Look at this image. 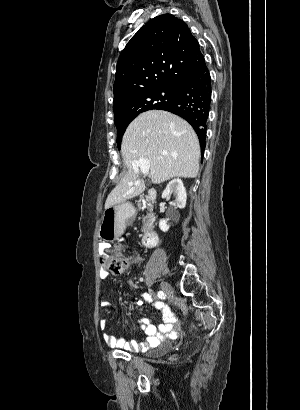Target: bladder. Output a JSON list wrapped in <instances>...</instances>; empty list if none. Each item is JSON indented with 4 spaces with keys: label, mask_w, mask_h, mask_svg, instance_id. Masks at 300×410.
<instances>
[{
    "label": "bladder",
    "mask_w": 300,
    "mask_h": 410,
    "mask_svg": "<svg viewBox=\"0 0 300 410\" xmlns=\"http://www.w3.org/2000/svg\"><path fill=\"white\" fill-rule=\"evenodd\" d=\"M172 347H173V345H172L171 341H165L156 349V351L160 355H165V354L169 353L172 350Z\"/></svg>",
    "instance_id": "31cf9c89"
}]
</instances>
